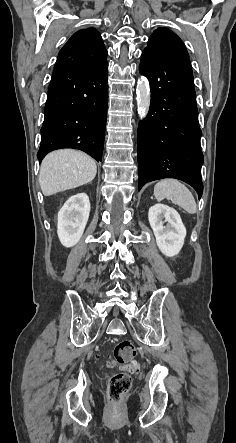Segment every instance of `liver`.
I'll list each match as a JSON object with an SVG mask.
<instances>
[{"label": "liver", "mask_w": 236, "mask_h": 443, "mask_svg": "<svg viewBox=\"0 0 236 443\" xmlns=\"http://www.w3.org/2000/svg\"><path fill=\"white\" fill-rule=\"evenodd\" d=\"M97 173L95 161L87 154L62 149L49 153L42 161L39 184L45 196L77 188L91 182Z\"/></svg>", "instance_id": "6515ba94"}]
</instances>
